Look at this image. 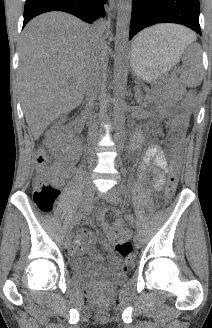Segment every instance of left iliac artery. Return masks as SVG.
<instances>
[{"label": "left iliac artery", "mask_w": 212, "mask_h": 328, "mask_svg": "<svg viewBox=\"0 0 212 328\" xmlns=\"http://www.w3.org/2000/svg\"><path fill=\"white\" fill-rule=\"evenodd\" d=\"M119 190H120V193H121L123 196H126V195H127L126 187H125L123 184H120V185H119ZM135 228H136V230H137L138 233L141 232L140 224H139V222H138L137 220L135 221Z\"/></svg>", "instance_id": "44dca946"}]
</instances>
